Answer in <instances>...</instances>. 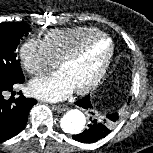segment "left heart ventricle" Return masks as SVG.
<instances>
[{
    "instance_id": "left-heart-ventricle-1",
    "label": "left heart ventricle",
    "mask_w": 153,
    "mask_h": 153,
    "mask_svg": "<svg viewBox=\"0 0 153 153\" xmlns=\"http://www.w3.org/2000/svg\"><path fill=\"white\" fill-rule=\"evenodd\" d=\"M109 47V42L106 40L95 42L78 60L61 68L74 89L86 85L95 76L109 51Z\"/></svg>"
}]
</instances>
